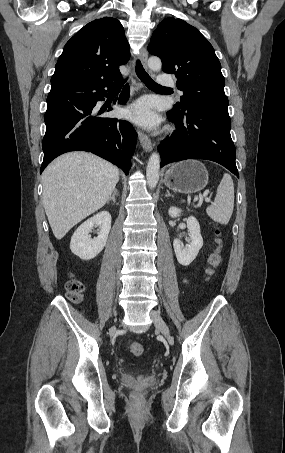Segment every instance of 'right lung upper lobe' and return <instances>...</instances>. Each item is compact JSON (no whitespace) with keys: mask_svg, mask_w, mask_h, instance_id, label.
I'll use <instances>...</instances> for the list:
<instances>
[{"mask_svg":"<svg viewBox=\"0 0 285 453\" xmlns=\"http://www.w3.org/2000/svg\"><path fill=\"white\" fill-rule=\"evenodd\" d=\"M129 58V44L121 23L111 17L95 19L66 43L55 65L51 85L118 82L119 66L126 64Z\"/></svg>","mask_w":285,"mask_h":453,"instance_id":"1","label":"right lung upper lobe"}]
</instances>
